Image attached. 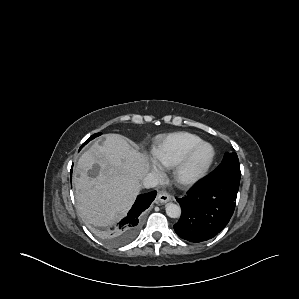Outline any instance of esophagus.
<instances>
[{"label":"esophagus","mask_w":299,"mask_h":299,"mask_svg":"<svg viewBox=\"0 0 299 299\" xmlns=\"http://www.w3.org/2000/svg\"><path fill=\"white\" fill-rule=\"evenodd\" d=\"M170 200H171V196L165 191H160L157 194V197H156L157 204H165V203L169 202Z\"/></svg>","instance_id":"esophagus-1"}]
</instances>
